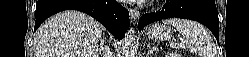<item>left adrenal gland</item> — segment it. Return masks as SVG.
Listing matches in <instances>:
<instances>
[{"instance_id": "obj_1", "label": "left adrenal gland", "mask_w": 249, "mask_h": 57, "mask_svg": "<svg viewBox=\"0 0 249 57\" xmlns=\"http://www.w3.org/2000/svg\"><path fill=\"white\" fill-rule=\"evenodd\" d=\"M148 54L153 53L154 51H158L157 47H150V44L147 46Z\"/></svg>"}]
</instances>
